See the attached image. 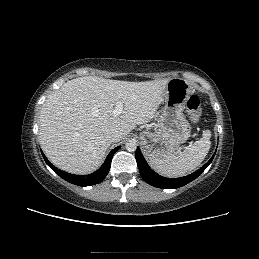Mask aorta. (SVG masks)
Segmentation results:
<instances>
[{"label": "aorta", "mask_w": 259, "mask_h": 259, "mask_svg": "<svg viewBox=\"0 0 259 259\" xmlns=\"http://www.w3.org/2000/svg\"><path fill=\"white\" fill-rule=\"evenodd\" d=\"M125 148L129 152H134L137 148V144L134 140H129L125 144Z\"/></svg>", "instance_id": "aorta-1"}]
</instances>
